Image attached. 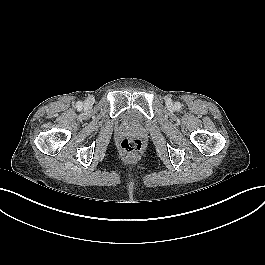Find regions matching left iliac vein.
I'll list each match as a JSON object with an SVG mask.
<instances>
[{
  "mask_svg": "<svg viewBox=\"0 0 265 265\" xmlns=\"http://www.w3.org/2000/svg\"><path fill=\"white\" fill-rule=\"evenodd\" d=\"M167 106L170 107V108L173 107V102L169 98L167 99Z\"/></svg>",
  "mask_w": 265,
  "mask_h": 265,
  "instance_id": "left-iliac-vein-1",
  "label": "left iliac vein"
}]
</instances>
